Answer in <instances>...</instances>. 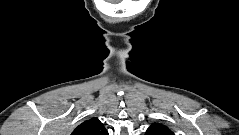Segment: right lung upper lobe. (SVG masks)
I'll list each match as a JSON object with an SVG mask.
<instances>
[{
	"label": "right lung upper lobe",
	"instance_id": "1",
	"mask_svg": "<svg viewBox=\"0 0 239 135\" xmlns=\"http://www.w3.org/2000/svg\"><path fill=\"white\" fill-rule=\"evenodd\" d=\"M71 135H108V132L97 118H91L76 127Z\"/></svg>",
	"mask_w": 239,
	"mask_h": 135
}]
</instances>
